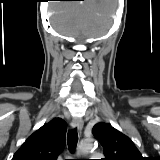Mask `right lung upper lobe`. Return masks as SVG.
I'll use <instances>...</instances> for the list:
<instances>
[{"mask_svg":"<svg viewBox=\"0 0 160 160\" xmlns=\"http://www.w3.org/2000/svg\"><path fill=\"white\" fill-rule=\"evenodd\" d=\"M66 129L64 120L54 118L29 136L12 160H56L65 147Z\"/></svg>","mask_w":160,"mask_h":160,"instance_id":"obj_1","label":"right lung upper lobe"}]
</instances>
